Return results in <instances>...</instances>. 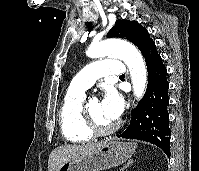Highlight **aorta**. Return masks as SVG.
Listing matches in <instances>:
<instances>
[{"mask_svg":"<svg viewBox=\"0 0 199 171\" xmlns=\"http://www.w3.org/2000/svg\"><path fill=\"white\" fill-rule=\"evenodd\" d=\"M88 57H117L127 65L133 85L134 95L139 99L146 90L147 70L144 60L135 46L118 39H107L93 43L86 52Z\"/></svg>","mask_w":199,"mask_h":171,"instance_id":"aorta-1","label":"aorta"}]
</instances>
